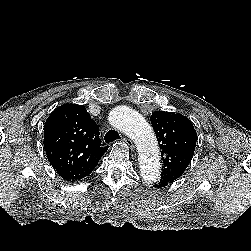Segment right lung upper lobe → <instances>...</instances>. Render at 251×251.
Segmentation results:
<instances>
[{"instance_id": "1", "label": "right lung upper lobe", "mask_w": 251, "mask_h": 251, "mask_svg": "<svg viewBox=\"0 0 251 251\" xmlns=\"http://www.w3.org/2000/svg\"><path fill=\"white\" fill-rule=\"evenodd\" d=\"M44 148L55 171L74 182L89 175L107 150L83 105L57 107L44 125Z\"/></svg>"}]
</instances>
